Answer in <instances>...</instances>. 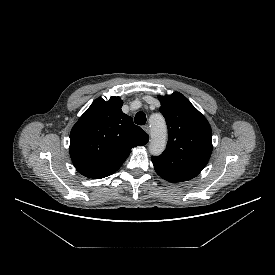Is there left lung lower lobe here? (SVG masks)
Here are the masks:
<instances>
[{
  "label": "left lung lower lobe",
  "mask_w": 275,
  "mask_h": 275,
  "mask_svg": "<svg viewBox=\"0 0 275 275\" xmlns=\"http://www.w3.org/2000/svg\"><path fill=\"white\" fill-rule=\"evenodd\" d=\"M159 176H161L163 179L167 180V181H170V182H181L179 181L178 179H175V178H172V177H169L167 175H162L160 174L159 172H157Z\"/></svg>",
  "instance_id": "1"
}]
</instances>
